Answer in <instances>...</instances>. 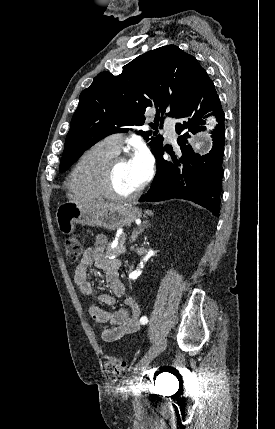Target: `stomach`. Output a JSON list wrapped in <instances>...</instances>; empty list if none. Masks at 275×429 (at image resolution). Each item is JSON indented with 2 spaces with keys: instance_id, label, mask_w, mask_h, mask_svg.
Returning a JSON list of instances; mask_svg holds the SVG:
<instances>
[{
  "instance_id": "0dacf381",
  "label": "stomach",
  "mask_w": 275,
  "mask_h": 429,
  "mask_svg": "<svg viewBox=\"0 0 275 429\" xmlns=\"http://www.w3.org/2000/svg\"><path fill=\"white\" fill-rule=\"evenodd\" d=\"M140 217V210L130 204H116L101 210H88L80 208L78 204L69 201L60 204L56 211L58 228L66 235L74 232L75 224L117 230L131 225Z\"/></svg>"
}]
</instances>
